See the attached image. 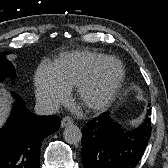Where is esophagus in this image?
I'll return each mask as SVG.
<instances>
[{"mask_svg": "<svg viewBox=\"0 0 168 168\" xmlns=\"http://www.w3.org/2000/svg\"><path fill=\"white\" fill-rule=\"evenodd\" d=\"M71 124H73V119L69 116L64 117L61 121V127L62 128L66 127V126H69Z\"/></svg>", "mask_w": 168, "mask_h": 168, "instance_id": "34e87169", "label": "esophagus"}]
</instances>
